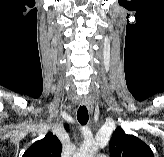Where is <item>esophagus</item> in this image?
<instances>
[{
    "label": "esophagus",
    "instance_id": "1",
    "mask_svg": "<svg viewBox=\"0 0 164 157\" xmlns=\"http://www.w3.org/2000/svg\"><path fill=\"white\" fill-rule=\"evenodd\" d=\"M81 104H82V105H85V106L87 107L88 111H89L91 114L93 113L94 106H93L92 102H91L89 99H87V98H82V99H81Z\"/></svg>",
    "mask_w": 164,
    "mask_h": 157
}]
</instances>
